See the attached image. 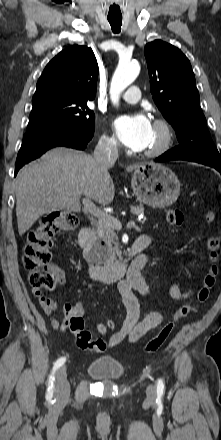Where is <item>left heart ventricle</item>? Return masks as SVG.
<instances>
[{
    "label": "left heart ventricle",
    "instance_id": "b2bd125f",
    "mask_svg": "<svg viewBox=\"0 0 221 440\" xmlns=\"http://www.w3.org/2000/svg\"><path fill=\"white\" fill-rule=\"evenodd\" d=\"M160 139H161V132L157 128L152 126L150 141L146 149L156 146L159 143Z\"/></svg>",
    "mask_w": 221,
    "mask_h": 440
}]
</instances>
